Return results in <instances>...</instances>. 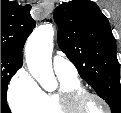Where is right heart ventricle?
<instances>
[{
    "instance_id": "1",
    "label": "right heart ventricle",
    "mask_w": 121,
    "mask_h": 113,
    "mask_svg": "<svg viewBox=\"0 0 121 113\" xmlns=\"http://www.w3.org/2000/svg\"><path fill=\"white\" fill-rule=\"evenodd\" d=\"M59 89L55 92L40 91L38 101L29 108L18 110L19 113H59L58 110L70 109V93L84 90L76 76L57 75Z\"/></svg>"
}]
</instances>
